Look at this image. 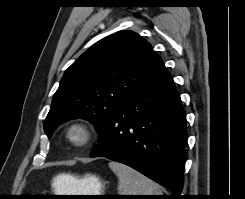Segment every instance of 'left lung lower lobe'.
Returning a JSON list of instances; mask_svg holds the SVG:
<instances>
[{
	"label": "left lung lower lobe",
	"mask_w": 245,
	"mask_h": 199,
	"mask_svg": "<svg viewBox=\"0 0 245 199\" xmlns=\"http://www.w3.org/2000/svg\"><path fill=\"white\" fill-rule=\"evenodd\" d=\"M187 137L180 96L162 62L151 79L111 113L90 156L130 166L178 199Z\"/></svg>",
	"instance_id": "obj_1"
}]
</instances>
